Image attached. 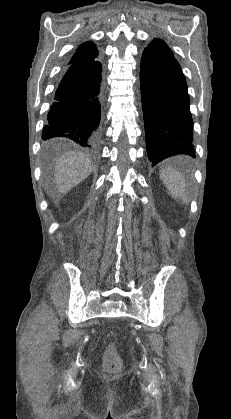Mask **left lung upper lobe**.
Listing matches in <instances>:
<instances>
[{"label": "left lung upper lobe", "mask_w": 231, "mask_h": 419, "mask_svg": "<svg viewBox=\"0 0 231 419\" xmlns=\"http://www.w3.org/2000/svg\"><path fill=\"white\" fill-rule=\"evenodd\" d=\"M144 51L174 57L171 49L161 39H154Z\"/></svg>", "instance_id": "1"}]
</instances>
